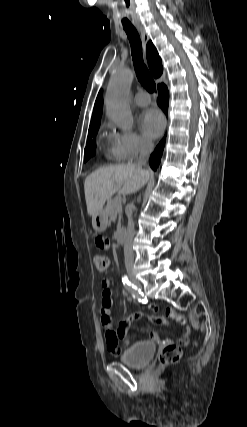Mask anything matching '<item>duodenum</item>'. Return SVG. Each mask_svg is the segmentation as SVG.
Instances as JSON below:
<instances>
[{
    "label": "duodenum",
    "mask_w": 247,
    "mask_h": 427,
    "mask_svg": "<svg viewBox=\"0 0 247 427\" xmlns=\"http://www.w3.org/2000/svg\"><path fill=\"white\" fill-rule=\"evenodd\" d=\"M117 244L123 246L125 244V231L121 229L116 235Z\"/></svg>",
    "instance_id": "duodenum-1"
}]
</instances>
